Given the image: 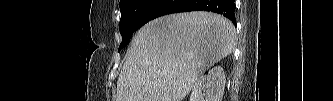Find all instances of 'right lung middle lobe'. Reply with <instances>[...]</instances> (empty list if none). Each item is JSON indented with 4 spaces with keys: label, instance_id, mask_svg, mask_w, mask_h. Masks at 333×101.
<instances>
[{
    "label": "right lung middle lobe",
    "instance_id": "dd1d6c3e",
    "mask_svg": "<svg viewBox=\"0 0 333 101\" xmlns=\"http://www.w3.org/2000/svg\"><path fill=\"white\" fill-rule=\"evenodd\" d=\"M153 0H120V33L122 35V42L119 46V51L124 48L134 31L138 29V21Z\"/></svg>",
    "mask_w": 333,
    "mask_h": 101
}]
</instances>
